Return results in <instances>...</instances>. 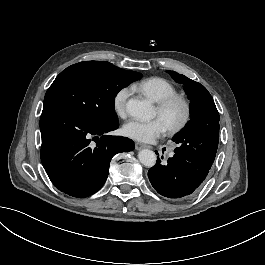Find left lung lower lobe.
<instances>
[{"label": "left lung lower lobe", "instance_id": "left-lung-lower-lobe-1", "mask_svg": "<svg viewBox=\"0 0 265 265\" xmlns=\"http://www.w3.org/2000/svg\"><path fill=\"white\" fill-rule=\"evenodd\" d=\"M209 171L204 164H194L175 154L166 165H162L158 159L156 165L148 171V178L162 196L185 200L198 191Z\"/></svg>", "mask_w": 265, "mask_h": 265}]
</instances>
